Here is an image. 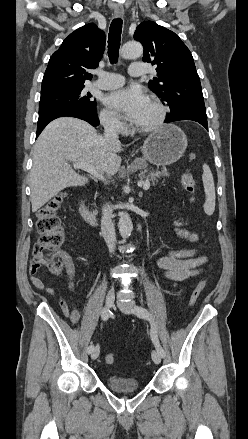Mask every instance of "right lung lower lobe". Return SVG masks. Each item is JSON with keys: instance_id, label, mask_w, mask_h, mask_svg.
<instances>
[{"instance_id": "1", "label": "right lung lower lobe", "mask_w": 248, "mask_h": 439, "mask_svg": "<svg viewBox=\"0 0 248 439\" xmlns=\"http://www.w3.org/2000/svg\"><path fill=\"white\" fill-rule=\"evenodd\" d=\"M64 116L76 117L85 120L88 123H90L92 126L99 125V119L97 117L96 110L92 111L84 108H62L39 116L37 123L36 137L40 135L42 130L49 122H51L56 118L64 117Z\"/></svg>"}]
</instances>
